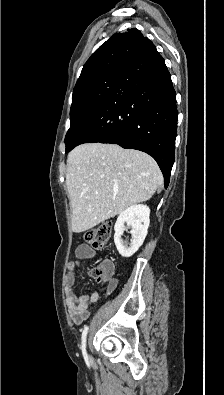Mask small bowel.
<instances>
[{
    "label": "small bowel",
    "instance_id": "obj_1",
    "mask_svg": "<svg viewBox=\"0 0 224 395\" xmlns=\"http://www.w3.org/2000/svg\"><path fill=\"white\" fill-rule=\"evenodd\" d=\"M77 259L71 261L67 266L66 274V304L71 320L75 324H81L90 316V310L99 300L98 292L91 295H80L74 291V283L77 278L82 259H92L96 256V250L87 244H81L76 249ZM113 266L111 265V274L108 279L107 292H112L117 285V280L113 277Z\"/></svg>",
    "mask_w": 224,
    "mask_h": 395
}]
</instances>
